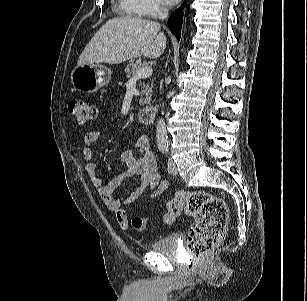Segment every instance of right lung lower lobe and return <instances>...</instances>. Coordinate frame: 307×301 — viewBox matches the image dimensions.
I'll return each mask as SVG.
<instances>
[{
	"instance_id": "right-lung-lower-lobe-1",
	"label": "right lung lower lobe",
	"mask_w": 307,
	"mask_h": 301,
	"mask_svg": "<svg viewBox=\"0 0 307 301\" xmlns=\"http://www.w3.org/2000/svg\"><path fill=\"white\" fill-rule=\"evenodd\" d=\"M183 6L184 4H182L181 8L174 11L168 19L169 29L174 35L177 36L178 40L180 39V31L182 27V15H183L182 8Z\"/></svg>"
}]
</instances>
